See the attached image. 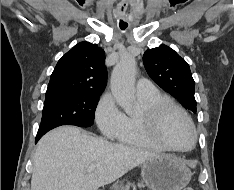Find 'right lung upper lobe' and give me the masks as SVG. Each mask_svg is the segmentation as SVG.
Masks as SVG:
<instances>
[{
	"label": "right lung upper lobe",
	"instance_id": "1",
	"mask_svg": "<svg viewBox=\"0 0 234 190\" xmlns=\"http://www.w3.org/2000/svg\"><path fill=\"white\" fill-rule=\"evenodd\" d=\"M105 52L89 42H80L58 61L47 89L101 94L107 81Z\"/></svg>",
	"mask_w": 234,
	"mask_h": 190
}]
</instances>
